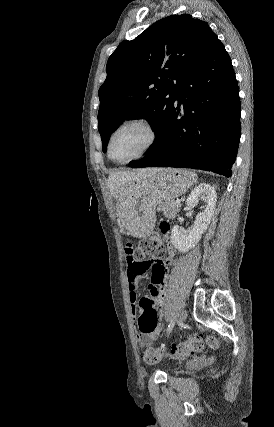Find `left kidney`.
<instances>
[{
  "label": "left kidney",
  "instance_id": "1",
  "mask_svg": "<svg viewBox=\"0 0 274 427\" xmlns=\"http://www.w3.org/2000/svg\"><path fill=\"white\" fill-rule=\"evenodd\" d=\"M198 200H203L206 206H203V212L196 215L194 225L186 229V231H181L179 225H173L172 227L171 241L174 247H177L178 251H183V253L195 247L214 215L217 202V194L214 188L210 184H199L187 198V206L193 208Z\"/></svg>",
  "mask_w": 274,
  "mask_h": 427
}]
</instances>
